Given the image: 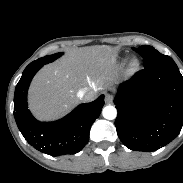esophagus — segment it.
I'll return each instance as SVG.
<instances>
[{
	"mask_svg": "<svg viewBox=\"0 0 183 183\" xmlns=\"http://www.w3.org/2000/svg\"><path fill=\"white\" fill-rule=\"evenodd\" d=\"M111 100H112V98H111L109 95H106V96H105V101H106V103H110Z\"/></svg>",
	"mask_w": 183,
	"mask_h": 183,
	"instance_id": "obj_1",
	"label": "esophagus"
}]
</instances>
